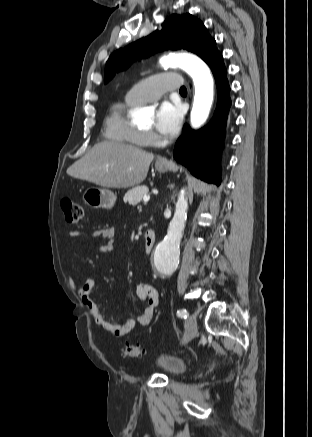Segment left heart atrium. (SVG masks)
<instances>
[{
    "label": "left heart atrium",
    "mask_w": 312,
    "mask_h": 437,
    "mask_svg": "<svg viewBox=\"0 0 312 437\" xmlns=\"http://www.w3.org/2000/svg\"><path fill=\"white\" fill-rule=\"evenodd\" d=\"M182 117L179 105L163 102L156 111L155 127L162 135L173 136L180 128Z\"/></svg>",
    "instance_id": "left-heart-atrium-1"
}]
</instances>
